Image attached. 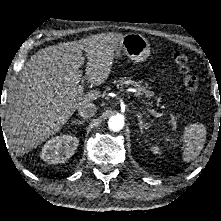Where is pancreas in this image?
<instances>
[{
    "instance_id": "1",
    "label": "pancreas",
    "mask_w": 221,
    "mask_h": 221,
    "mask_svg": "<svg viewBox=\"0 0 221 221\" xmlns=\"http://www.w3.org/2000/svg\"><path fill=\"white\" fill-rule=\"evenodd\" d=\"M114 83H117V87L119 88H123V87H127L128 85L133 86L134 88H136L141 95H145L147 98H150L153 96L152 92L149 91L146 87L141 85V81H133L130 78H119V80H115ZM159 102V100H158ZM171 122L175 125L176 124V118L174 116H172V120Z\"/></svg>"
}]
</instances>
